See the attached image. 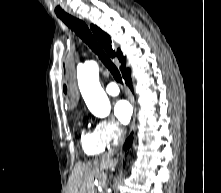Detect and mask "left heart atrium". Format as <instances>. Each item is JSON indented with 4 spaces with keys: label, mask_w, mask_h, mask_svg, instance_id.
<instances>
[{
    "label": "left heart atrium",
    "mask_w": 221,
    "mask_h": 193,
    "mask_svg": "<svg viewBox=\"0 0 221 193\" xmlns=\"http://www.w3.org/2000/svg\"><path fill=\"white\" fill-rule=\"evenodd\" d=\"M114 113L118 120L127 123L132 116V106L127 100L120 99L115 103Z\"/></svg>",
    "instance_id": "1"
}]
</instances>
